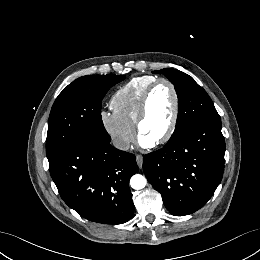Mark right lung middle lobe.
<instances>
[{"instance_id": "dd1d6c3e", "label": "right lung middle lobe", "mask_w": 260, "mask_h": 260, "mask_svg": "<svg viewBox=\"0 0 260 260\" xmlns=\"http://www.w3.org/2000/svg\"><path fill=\"white\" fill-rule=\"evenodd\" d=\"M123 75L83 76L69 84L56 98L48 122V160L67 147L85 140L110 143L101 118V101L107 91L124 80Z\"/></svg>"}]
</instances>
